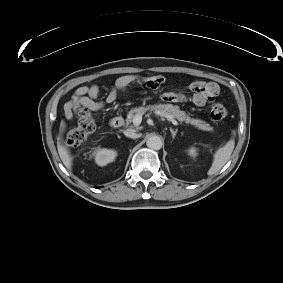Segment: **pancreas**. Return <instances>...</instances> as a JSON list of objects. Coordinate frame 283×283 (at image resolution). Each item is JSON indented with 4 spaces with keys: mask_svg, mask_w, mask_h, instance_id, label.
I'll return each instance as SVG.
<instances>
[{
    "mask_svg": "<svg viewBox=\"0 0 283 283\" xmlns=\"http://www.w3.org/2000/svg\"><path fill=\"white\" fill-rule=\"evenodd\" d=\"M146 112H157L161 117L177 119L180 122L190 123L201 130L211 131L212 127L205 121L190 118L185 111H181L178 106L172 104H154L146 107H138L130 110L127 115V122H131L136 114H145Z\"/></svg>",
    "mask_w": 283,
    "mask_h": 283,
    "instance_id": "obj_1",
    "label": "pancreas"
}]
</instances>
